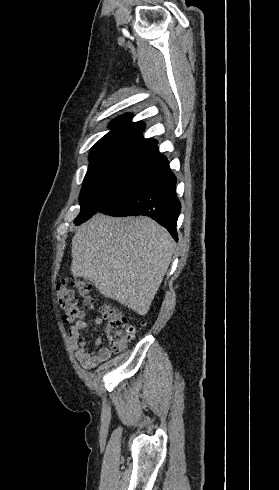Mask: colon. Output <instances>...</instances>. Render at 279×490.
<instances>
[{"instance_id":"colon-1","label":"colon","mask_w":279,"mask_h":490,"mask_svg":"<svg viewBox=\"0 0 279 490\" xmlns=\"http://www.w3.org/2000/svg\"><path fill=\"white\" fill-rule=\"evenodd\" d=\"M76 289L80 296L88 305L90 310L98 311L107 322L106 336L109 340V346L113 351L122 352L136 335L137 329L134 325L127 322L122 312L114 310L109 306H99L91 295V285L83 281L76 282ZM56 299L63 311V321L72 323L84 318L85 311L78 304V297L69 279H60L56 285Z\"/></svg>"}]
</instances>
